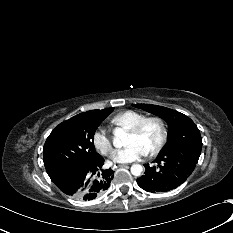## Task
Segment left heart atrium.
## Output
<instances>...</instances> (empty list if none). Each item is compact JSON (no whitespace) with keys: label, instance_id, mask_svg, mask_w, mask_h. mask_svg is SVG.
Segmentation results:
<instances>
[{"label":"left heart atrium","instance_id":"obj_1","mask_svg":"<svg viewBox=\"0 0 233 233\" xmlns=\"http://www.w3.org/2000/svg\"><path fill=\"white\" fill-rule=\"evenodd\" d=\"M147 155V152L137 143H132L123 149L117 150L112 155V160L117 163H130Z\"/></svg>","mask_w":233,"mask_h":233}]
</instances>
